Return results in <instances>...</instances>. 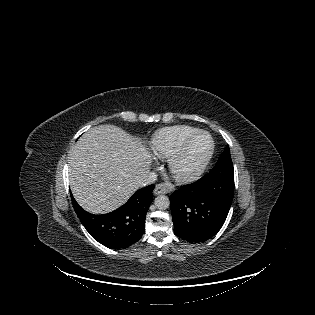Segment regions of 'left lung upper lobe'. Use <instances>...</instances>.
Wrapping results in <instances>:
<instances>
[{
	"label": "left lung upper lobe",
	"instance_id": "obj_1",
	"mask_svg": "<svg viewBox=\"0 0 315 315\" xmlns=\"http://www.w3.org/2000/svg\"><path fill=\"white\" fill-rule=\"evenodd\" d=\"M214 175L221 173H234L233 164L230 155V149L228 146L224 149L221 156L219 157L216 165L211 170Z\"/></svg>",
	"mask_w": 315,
	"mask_h": 315
}]
</instances>
